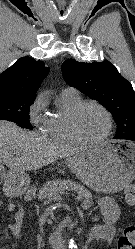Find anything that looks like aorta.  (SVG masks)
<instances>
[{
    "label": "aorta",
    "mask_w": 135,
    "mask_h": 249,
    "mask_svg": "<svg viewBox=\"0 0 135 249\" xmlns=\"http://www.w3.org/2000/svg\"><path fill=\"white\" fill-rule=\"evenodd\" d=\"M68 249H77V244L75 243L73 239H70L68 243Z\"/></svg>",
    "instance_id": "762f6f07"
}]
</instances>
